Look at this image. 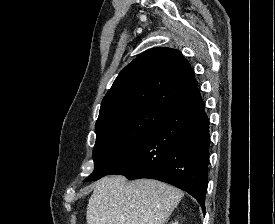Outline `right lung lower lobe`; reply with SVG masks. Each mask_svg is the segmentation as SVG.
I'll return each instance as SVG.
<instances>
[{"label":"right lung lower lobe","instance_id":"right-lung-lower-lobe-1","mask_svg":"<svg viewBox=\"0 0 275 224\" xmlns=\"http://www.w3.org/2000/svg\"><path fill=\"white\" fill-rule=\"evenodd\" d=\"M209 120L198 88L168 108L145 139L108 175L150 178L193 196L205 212Z\"/></svg>","mask_w":275,"mask_h":224}]
</instances>
